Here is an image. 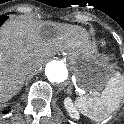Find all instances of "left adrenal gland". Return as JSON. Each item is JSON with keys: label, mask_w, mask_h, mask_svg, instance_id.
Masks as SVG:
<instances>
[{"label": "left adrenal gland", "mask_w": 124, "mask_h": 124, "mask_svg": "<svg viewBox=\"0 0 124 124\" xmlns=\"http://www.w3.org/2000/svg\"><path fill=\"white\" fill-rule=\"evenodd\" d=\"M67 93L71 94V90H70V89H68Z\"/></svg>", "instance_id": "obj_1"}]
</instances>
